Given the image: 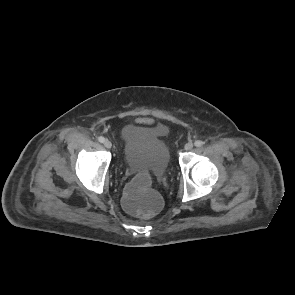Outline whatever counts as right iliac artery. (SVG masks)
<instances>
[{"mask_svg":"<svg viewBox=\"0 0 295 295\" xmlns=\"http://www.w3.org/2000/svg\"><path fill=\"white\" fill-rule=\"evenodd\" d=\"M98 141L100 143H104L105 142V138L103 136L98 137Z\"/></svg>","mask_w":295,"mask_h":295,"instance_id":"right-iliac-artery-1","label":"right iliac artery"}]
</instances>
